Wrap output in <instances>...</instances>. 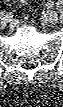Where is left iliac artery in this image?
I'll list each match as a JSON object with an SVG mask.
<instances>
[{"mask_svg":"<svg viewBox=\"0 0 63 107\" xmlns=\"http://www.w3.org/2000/svg\"><path fill=\"white\" fill-rule=\"evenodd\" d=\"M53 6H54V3L49 0L48 3H47V7L52 8Z\"/></svg>","mask_w":63,"mask_h":107,"instance_id":"obj_1","label":"left iliac artery"}]
</instances>
